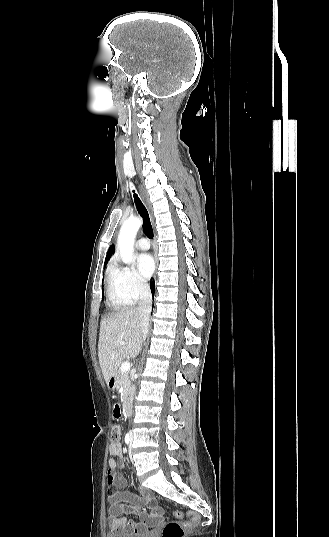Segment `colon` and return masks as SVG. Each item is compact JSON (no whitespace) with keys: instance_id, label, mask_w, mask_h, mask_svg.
<instances>
[{"instance_id":"1","label":"colon","mask_w":329,"mask_h":537,"mask_svg":"<svg viewBox=\"0 0 329 537\" xmlns=\"http://www.w3.org/2000/svg\"><path fill=\"white\" fill-rule=\"evenodd\" d=\"M114 417V416H113ZM121 438V427L118 424H114L111 429V440L117 443ZM202 513L198 509H194L190 512V517L194 520L191 522L182 521L183 513L181 511H175L174 517L176 520L168 522L163 531L162 537H184L187 530L196 524V520L200 519Z\"/></svg>"}]
</instances>
